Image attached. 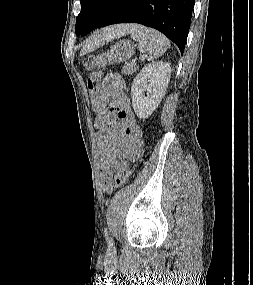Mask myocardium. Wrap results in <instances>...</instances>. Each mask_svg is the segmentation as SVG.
<instances>
[{"label":"myocardium","mask_w":253,"mask_h":285,"mask_svg":"<svg viewBox=\"0 0 253 285\" xmlns=\"http://www.w3.org/2000/svg\"><path fill=\"white\" fill-rule=\"evenodd\" d=\"M113 3V0H100V4L103 6H107Z\"/></svg>","instance_id":"f54148a6"}]
</instances>
